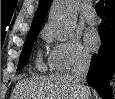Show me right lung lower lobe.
I'll use <instances>...</instances> for the list:
<instances>
[{
	"label": "right lung lower lobe",
	"instance_id": "1",
	"mask_svg": "<svg viewBox=\"0 0 115 99\" xmlns=\"http://www.w3.org/2000/svg\"><path fill=\"white\" fill-rule=\"evenodd\" d=\"M105 19L99 26L101 47L91 60L87 82L104 99H110L109 79L115 69V6L104 10Z\"/></svg>",
	"mask_w": 115,
	"mask_h": 99
}]
</instances>
